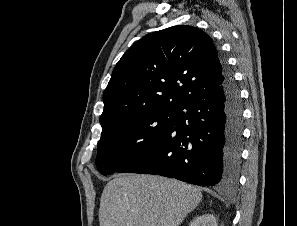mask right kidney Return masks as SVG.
<instances>
[{
	"instance_id": "obj_1",
	"label": "right kidney",
	"mask_w": 297,
	"mask_h": 226,
	"mask_svg": "<svg viewBox=\"0 0 297 226\" xmlns=\"http://www.w3.org/2000/svg\"><path fill=\"white\" fill-rule=\"evenodd\" d=\"M189 226H217V222L213 215L204 214L195 218Z\"/></svg>"
}]
</instances>
